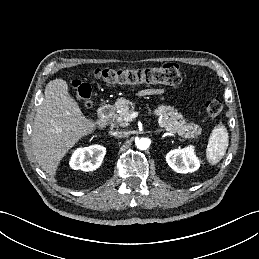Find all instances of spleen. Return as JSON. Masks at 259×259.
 <instances>
[{"label": "spleen", "instance_id": "3e777b00", "mask_svg": "<svg viewBox=\"0 0 259 259\" xmlns=\"http://www.w3.org/2000/svg\"><path fill=\"white\" fill-rule=\"evenodd\" d=\"M228 141L227 129L222 123H219L212 130L206 149V157L210 164L216 165L221 161L228 148Z\"/></svg>", "mask_w": 259, "mask_h": 259}]
</instances>
